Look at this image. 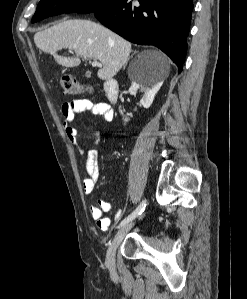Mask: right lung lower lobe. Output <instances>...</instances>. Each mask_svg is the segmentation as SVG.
Segmentation results:
<instances>
[{
    "instance_id": "1",
    "label": "right lung lower lobe",
    "mask_w": 247,
    "mask_h": 299,
    "mask_svg": "<svg viewBox=\"0 0 247 299\" xmlns=\"http://www.w3.org/2000/svg\"><path fill=\"white\" fill-rule=\"evenodd\" d=\"M120 0L96 11V18L123 38L154 45L182 71L190 30L192 0Z\"/></svg>"
}]
</instances>
